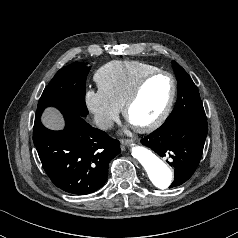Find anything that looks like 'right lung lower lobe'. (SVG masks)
Masks as SVG:
<instances>
[{"label":"right lung lower lobe","mask_w":238,"mask_h":238,"mask_svg":"<svg viewBox=\"0 0 238 238\" xmlns=\"http://www.w3.org/2000/svg\"><path fill=\"white\" fill-rule=\"evenodd\" d=\"M61 131L35 120L33 142L42 166L61 190L86 195L100 189L108 176V163L120 153L119 141L93 128L82 116L65 117Z\"/></svg>","instance_id":"obj_1"}]
</instances>
